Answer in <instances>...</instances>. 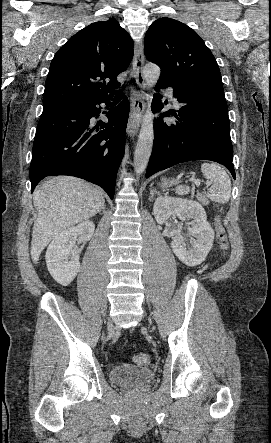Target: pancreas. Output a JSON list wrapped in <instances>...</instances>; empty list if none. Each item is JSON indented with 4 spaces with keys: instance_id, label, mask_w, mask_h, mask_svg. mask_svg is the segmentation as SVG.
<instances>
[{
    "instance_id": "1",
    "label": "pancreas",
    "mask_w": 271,
    "mask_h": 443,
    "mask_svg": "<svg viewBox=\"0 0 271 443\" xmlns=\"http://www.w3.org/2000/svg\"><path fill=\"white\" fill-rule=\"evenodd\" d=\"M197 200L198 202H201V204H204V206H208L209 200L206 198V196H203V194H197Z\"/></svg>"
}]
</instances>
